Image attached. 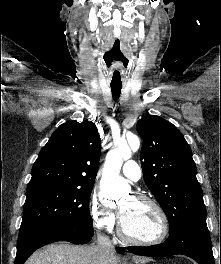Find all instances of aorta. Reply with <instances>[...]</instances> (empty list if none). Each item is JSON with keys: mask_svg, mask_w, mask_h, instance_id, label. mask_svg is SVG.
I'll return each instance as SVG.
<instances>
[{"mask_svg": "<svg viewBox=\"0 0 221 264\" xmlns=\"http://www.w3.org/2000/svg\"><path fill=\"white\" fill-rule=\"evenodd\" d=\"M139 146V138L132 135L128 142L126 140L119 141L116 147L107 154L100 180V193L102 198L107 199L108 202H118L128 190V182L119 173L123 161L128 160L132 155V149L138 150Z\"/></svg>", "mask_w": 221, "mask_h": 264, "instance_id": "obj_1", "label": "aorta"}]
</instances>
